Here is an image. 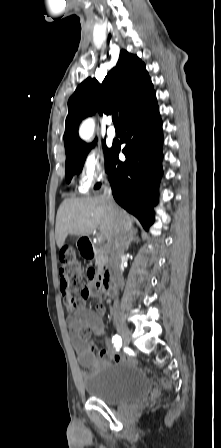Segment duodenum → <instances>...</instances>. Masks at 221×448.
Wrapping results in <instances>:
<instances>
[{
  "label": "duodenum",
  "instance_id": "duodenum-1",
  "mask_svg": "<svg viewBox=\"0 0 221 448\" xmlns=\"http://www.w3.org/2000/svg\"><path fill=\"white\" fill-rule=\"evenodd\" d=\"M79 250L86 259H96L101 268L102 276L100 279L101 291L104 295H113L116 293L118 282L115 274L111 271L101 249L97 248L89 237H82L79 242Z\"/></svg>",
  "mask_w": 221,
  "mask_h": 448
}]
</instances>
